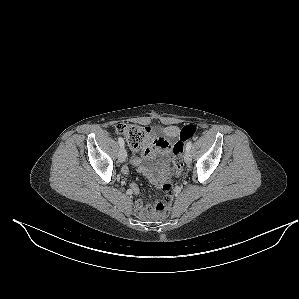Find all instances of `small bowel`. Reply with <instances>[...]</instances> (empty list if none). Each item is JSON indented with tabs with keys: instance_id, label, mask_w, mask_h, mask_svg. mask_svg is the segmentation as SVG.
I'll list each match as a JSON object with an SVG mask.
<instances>
[{
	"instance_id": "1",
	"label": "small bowel",
	"mask_w": 299,
	"mask_h": 299,
	"mask_svg": "<svg viewBox=\"0 0 299 299\" xmlns=\"http://www.w3.org/2000/svg\"><path fill=\"white\" fill-rule=\"evenodd\" d=\"M149 134L148 138L141 149H133L132 156L130 158V164L134 166H139L138 171L146 175L155 185L160 186L168 177V171L165 168V164H161V169L158 170L152 166L142 165L144 160L153 159V153L156 150H162L166 153H169L173 146L171 143L164 137H154L151 129L148 128ZM163 133L170 138H177L180 136V129L175 125H168L162 128ZM141 151V155H138V152ZM122 172L128 174L129 169L127 166L123 167ZM132 192L134 194L138 193V187L135 184L131 186ZM135 209L138 214L142 217H147L151 213L150 206H144L141 200H137L135 203Z\"/></svg>"
}]
</instances>
